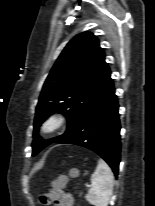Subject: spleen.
Returning a JSON list of instances; mask_svg holds the SVG:
<instances>
[{"mask_svg": "<svg viewBox=\"0 0 155 206\" xmlns=\"http://www.w3.org/2000/svg\"><path fill=\"white\" fill-rule=\"evenodd\" d=\"M114 176L107 163L99 159L91 176V188L85 199L94 206H108L113 193Z\"/></svg>", "mask_w": 155, "mask_h": 206, "instance_id": "obj_1", "label": "spleen"}]
</instances>
